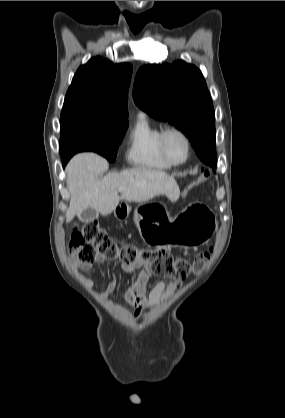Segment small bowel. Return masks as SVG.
Returning a JSON list of instances; mask_svg holds the SVG:
<instances>
[{"label": "small bowel", "instance_id": "c3829d8e", "mask_svg": "<svg viewBox=\"0 0 285 418\" xmlns=\"http://www.w3.org/2000/svg\"><path fill=\"white\" fill-rule=\"evenodd\" d=\"M69 261L74 270L79 273H87L93 268V265L80 264L73 256L70 257ZM104 262V256L97 255L95 263L102 264ZM121 266L130 276V284L125 289L124 299L128 305L134 308L136 316H139L144 308L154 307L162 299L173 293L184 282V279H177L170 282L160 281L147 295L146 288L151 278L150 264L143 261L135 263L122 262ZM84 280L88 287L94 286V279L92 277L86 276ZM116 285V278H113L107 285L104 291V296H108L113 293Z\"/></svg>", "mask_w": 285, "mask_h": 418}]
</instances>
